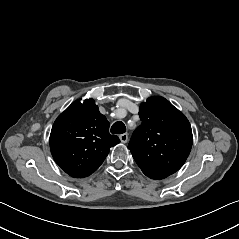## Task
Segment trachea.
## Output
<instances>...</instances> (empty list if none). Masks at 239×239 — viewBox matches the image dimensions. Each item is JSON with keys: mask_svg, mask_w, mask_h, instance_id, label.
I'll use <instances>...</instances> for the list:
<instances>
[{"mask_svg": "<svg viewBox=\"0 0 239 239\" xmlns=\"http://www.w3.org/2000/svg\"><path fill=\"white\" fill-rule=\"evenodd\" d=\"M126 132V126L123 122H115L111 127V133L113 134H123Z\"/></svg>", "mask_w": 239, "mask_h": 239, "instance_id": "trachea-1", "label": "trachea"}]
</instances>
